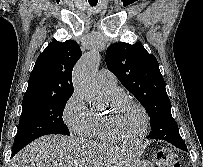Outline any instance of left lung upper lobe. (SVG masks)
Returning <instances> with one entry per match:
<instances>
[{"mask_svg": "<svg viewBox=\"0 0 203 167\" xmlns=\"http://www.w3.org/2000/svg\"><path fill=\"white\" fill-rule=\"evenodd\" d=\"M106 64L146 109L151 120L148 138L164 139L169 135L179 137V129L171 115V103L154 55L149 54L140 42H118L106 51Z\"/></svg>", "mask_w": 203, "mask_h": 167, "instance_id": "left-lung-upper-lobe-1", "label": "left lung upper lobe"}]
</instances>
